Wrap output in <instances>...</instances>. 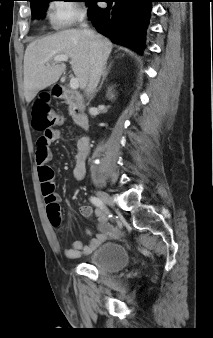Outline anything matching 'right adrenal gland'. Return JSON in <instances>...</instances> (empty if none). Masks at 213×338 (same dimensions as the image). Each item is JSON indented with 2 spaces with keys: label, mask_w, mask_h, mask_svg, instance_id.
<instances>
[{
  "label": "right adrenal gland",
  "mask_w": 213,
  "mask_h": 338,
  "mask_svg": "<svg viewBox=\"0 0 213 338\" xmlns=\"http://www.w3.org/2000/svg\"><path fill=\"white\" fill-rule=\"evenodd\" d=\"M110 67H111V64L109 65V67H107V65L104 66L103 73H102V80H101L99 86L95 89L94 96H96V94L100 91V89L103 85V82L105 81V79H106V77L109 73Z\"/></svg>",
  "instance_id": "right-adrenal-gland-1"
}]
</instances>
